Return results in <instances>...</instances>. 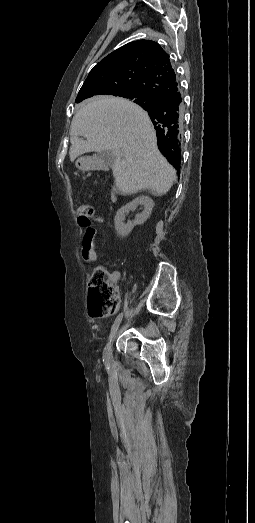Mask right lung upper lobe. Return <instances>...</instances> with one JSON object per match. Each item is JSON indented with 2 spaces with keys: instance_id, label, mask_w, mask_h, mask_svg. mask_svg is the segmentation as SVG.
Here are the masks:
<instances>
[{
  "instance_id": "obj_1",
  "label": "right lung upper lobe",
  "mask_w": 255,
  "mask_h": 523,
  "mask_svg": "<svg viewBox=\"0 0 255 523\" xmlns=\"http://www.w3.org/2000/svg\"><path fill=\"white\" fill-rule=\"evenodd\" d=\"M129 90L147 93L154 99L153 107L164 101L178 100L181 103V110L176 113L179 134L176 137L170 136L171 141H179V151L168 154L165 151V145L157 142L162 154L178 171L181 165L183 104L169 56L158 43L139 40L128 43L109 54L90 71L75 102H89L116 96ZM137 104L141 106V102H137ZM151 109H144L149 116ZM150 119L157 132L155 120L151 117Z\"/></svg>"
}]
</instances>
